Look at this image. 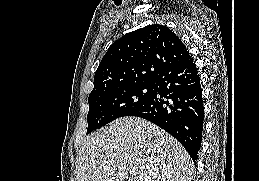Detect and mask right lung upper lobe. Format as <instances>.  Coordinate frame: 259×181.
<instances>
[{"mask_svg":"<svg viewBox=\"0 0 259 181\" xmlns=\"http://www.w3.org/2000/svg\"><path fill=\"white\" fill-rule=\"evenodd\" d=\"M188 55L182 41L166 26L154 24L130 32L113 43L102 58L89 96L153 83L162 72Z\"/></svg>","mask_w":259,"mask_h":181,"instance_id":"cb5924a9","label":"right lung upper lobe"}]
</instances>
